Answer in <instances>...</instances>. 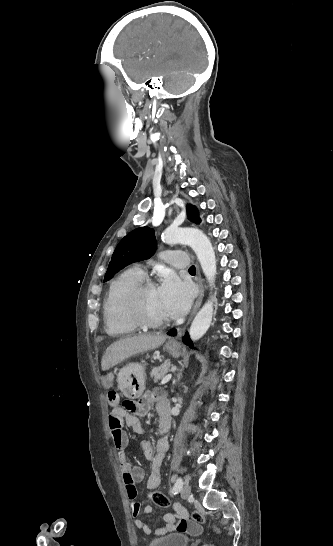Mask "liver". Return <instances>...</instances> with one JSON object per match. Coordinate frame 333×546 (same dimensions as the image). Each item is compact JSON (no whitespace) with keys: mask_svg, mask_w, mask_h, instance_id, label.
<instances>
[{"mask_svg":"<svg viewBox=\"0 0 333 546\" xmlns=\"http://www.w3.org/2000/svg\"><path fill=\"white\" fill-rule=\"evenodd\" d=\"M165 340V335H137L121 339L106 349L101 368L106 371L130 356L160 347Z\"/></svg>","mask_w":333,"mask_h":546,"instance_id":"6515ba94","label":"liver"}]
</instances>
